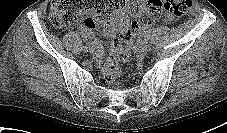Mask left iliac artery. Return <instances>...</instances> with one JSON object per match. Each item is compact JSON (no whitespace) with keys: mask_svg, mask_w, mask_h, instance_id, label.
<instances>
[{"mask_svg":"<svg viewBox=\"0 0 227 133\" xmlns=\"http://www.w3.org/2000/svg\"><path fill=\"white\" fill-rule=\"evenodd\" d=\"M147 37H148V36H147ZM145 47L147 48L148 51L151 50V45H150L149 43H146V44H145Z\"/></svg>","mask_w":227,"mask_h":133,"instance_id":"44dca946","label":"left iliac artery"}]
</instances>
